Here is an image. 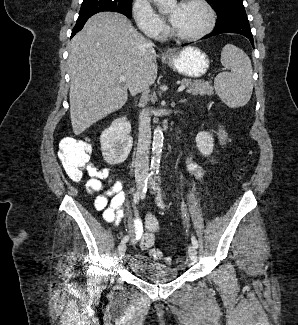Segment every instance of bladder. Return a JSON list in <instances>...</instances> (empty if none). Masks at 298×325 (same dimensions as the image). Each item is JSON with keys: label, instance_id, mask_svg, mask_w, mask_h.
<instances>
[{"label": "bladder", "instance_id": "bladder-1", "mask_svg": "<svg viewBox=\"0 0 298 325\" xmlns=\"http://www.w3.org/2000/svg\"><path fill=\"white\" fill-rule=\"evenodd\" d=\"M129 268L135 277L148 283H167L179 276L177 268L151 261L140 254L133 255L130 258Z\"/></svg>", "mask_w": 298, "mask_h": 325}]
</instances>
